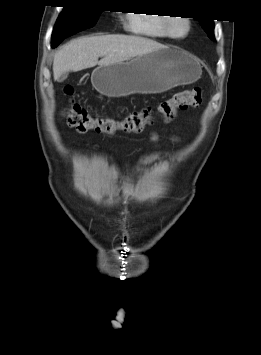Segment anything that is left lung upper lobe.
Wrapping results in <instances>:
<instances>
[{
	"label": "left lung upper lobe",
	"mask_w": 261,
	"mask_h": 355,
	"mask_svg": "<svg viewBox=\"0 0 261 355\" xmlns=\"http://www.w3.org/2000/svg\"><path fill=\"white\" fill-rule=\"evenodd\" d=\"M200 20H201V26L204 29V31L208 34L211 40L215 41L213 20H203V19Z\"/></svg>",
	"instance_id": "5c2ea615"
}]
</instances>
